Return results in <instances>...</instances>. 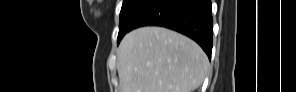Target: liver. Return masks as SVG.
<instances>
[{"instance_id":"obj_1","label":"liver","mask_w":296,"mask_h":92,"mask_svg":"<svg viewBox=\"0 0 296 92\" xmlns=\"http://www.w3.org/2000/svg\"><path fill=\"white\" fill-rule=\"evenodd\" d=\"M208 68L197 43L163 27L135 29L117 50L120 92H193Z\"/></svg>"}]
</instances>
